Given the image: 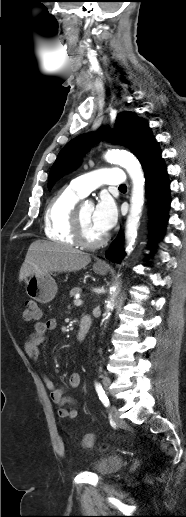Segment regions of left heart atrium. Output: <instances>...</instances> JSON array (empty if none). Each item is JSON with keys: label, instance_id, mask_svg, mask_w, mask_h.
<instances>
[{"label": "left heart atrium", "instance_id": "obj_1", "mask_svg": "<svg viewBox=\"0 0 186 517\" xmlns=\"http://www.w3.org/2000/svg\"><path fill=\"white\" fill-rule=\"evenodd\" d=\"M117 216V207L113 199L108 195H102L93 210L94 226L104 234L115 225Z\"/></svg>", "mask_w": 186, "mask_h": 517}]
</instances>
